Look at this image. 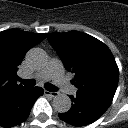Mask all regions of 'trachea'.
Returning a JSON list of instances; mask_svg holds the SVG:
<instances>
[{"label": "trachea", "mask_w": 128, "mask_h": 128, "mask_svg": "<svg viewBox=\"0 0 128 128\" xmlns=\"http://www.w3.org/2000/svg\"><path fill=\"white\" fill-rule=\"evenodd\" d=\"M18 80L25 86L27 87H33L35 84H36V81L33 80V79H21V78H18ZM45 89L50 91V92H55L57 91V87L54 86L53 84H50V83H46L45 85Z\"/></svg>", "instance_id": "obj_1"}]
</instances>
